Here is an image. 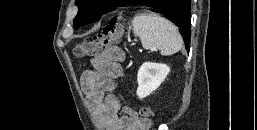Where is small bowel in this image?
Returning a JSON list of instances; mask_svg holds the SVG:
<instances>
[{
	"instance_id": "c3829d8e",
	"label": "small bowel",
	"mask_w": 257,
	"mask_h": 130,
	"mask_svg": "<svg viewBox=\"0 0 257 130\" xmlns=\"http://www.w3.org/2000/svg\"><path fill=\"white\" fill-rule=\"evenodd\" d=\"M122 59L123 52L116 47L96 54L92 59L94 69L81 75L82 91L104 130H148L151 121L140 118L128 106L121 107L113 94L115 80L123 73Z\"/></svg>"
}]
</instances>
